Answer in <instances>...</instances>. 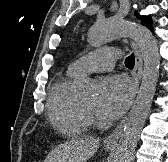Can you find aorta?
I'll use <instances>...</instances> for the list:
<instances>
[{
	"mask_svg": "<svg viewBox=\"0 0 168 162\" xmlns=\"http://www.w3.org/2000/svg\"><path fill=\"white\" fill-rule=\"evenodd\" d=\"M131 36L139 47L144 61L142 82L136 101L128 115L112 162H131L141 130L148 117L159 77L160 56L157 41L151 31L124 19L109 18L97 22L88 30V43L100 47L114 39ZM97 86L88 77L78 82V95L91 98L96 95Z\"/></svg>",
	"mask_w": 168,
	"mask_h": 162,
	"instance_id": "aorta-1",
	"label": "aorta"
}]
</instances>
